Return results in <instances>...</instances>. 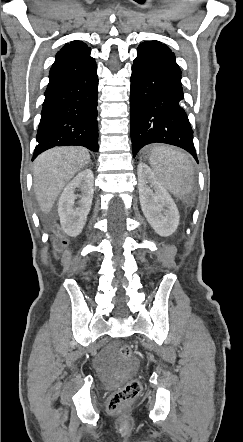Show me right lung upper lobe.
Wrapping results in <instances>:
<instances>
[{"mask_svg": "<svg viewBox=\"0 0 243 442\" xmlns=\"http://www.w3.org/2000/svg\"><path fill=\"white\" fill-rule=\"evenodd\" d=\"M90 48L87 47L82 41H72L70 44H65V46L56 54V61L65 57L78 55Z\"/></svg>", "mask_w": 243, "mask_h": 442, "instance_id": "obj_1", "label": "right lung upper lobe"}]
</instances>
